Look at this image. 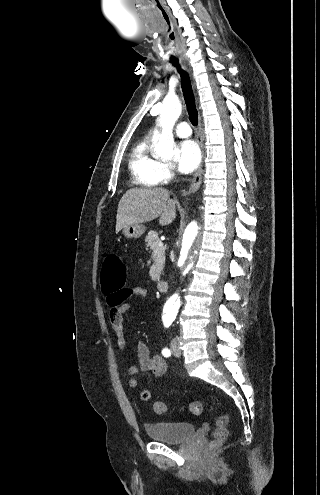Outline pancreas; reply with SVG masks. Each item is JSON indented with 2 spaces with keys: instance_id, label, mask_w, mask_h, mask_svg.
<instances>
[{
  "instance_id": "obj_1",
  "label": "pancreas",
  "mask_w": 320,
  "mask_h": 495,
  "mask_svg": "<svg viewBox=\"0 0 320 495\" xmlns=\"http://www.w3.org/2000/svg\"><path fill=\"white\" fill-rule=\"evenodd\" d=\"M145 242H146L147 250H151V251L155 252L156 249H159L157 251L159 256L155 259V263L152 266V269L156 268L158 270V272L160 273V271L163 269V266L165 263V247L164 246H162V247L158 246V243L161 241H160V239L158 237V233L156 231H150L148 233V235L146 236Z\"/></svg>"
}]
</instances>
